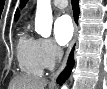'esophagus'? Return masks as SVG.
Instances as JSON below:
<instances>
[{
  "label": "esophagus",
  "mask_w": 107,
  "mask_h": 89,
  "mask_svg": "<svg viewBox=\"0 0 107 89\" xmlns=\"http://www.w3.org/2000/svg\"><path fill=\"white\" fill-rule=\"evenodd\" d=\"M76 37H77V27L75 26L74 36H73V39H72V41H71V43H70V45H69L67 54H66V56H65V58H64V60H63V62H62V64H61L60 68H59L58 71L53 75V77H52V79H51V83H55L56 78H57V76L59 75V73L66 67L67 60H68V56H69V53H70V51L72 50L73 45H74V43H75V41H76Z\"/></svg>",
  "instance_id": "obj_1"
}]
</instances>
